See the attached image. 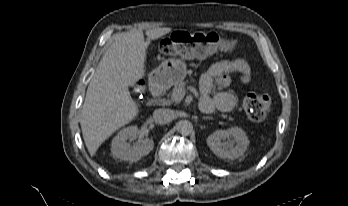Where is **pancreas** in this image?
Wrapping results in <instances>:
<instances>
[{
	"label": "pancreas",
	"instance_id": "pancreas-1",
	"mask_svg": "<svg viewBox=\"0 0 348 206\" xmlns=\"http://www.w3.org/2000/svg\"><path fill=\"white\" fill-rule=\"evenodd\" d=\"M185 86H186V82L181 81V82L177 83V84L174 86V88H173V90H172V92H171V94H170L171 99L167 100V103L170 104V103L174 102V101L172 100V96H173L174 93H176V92H178V91L185 92ZM221 116H222L223 118H227V115L222 114ZM228 119H229V120H232L231 117H228Z\"/></svg>",
	"mask_w": 348,
	"mask_h": 206
}]
</instances>
